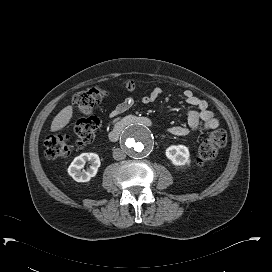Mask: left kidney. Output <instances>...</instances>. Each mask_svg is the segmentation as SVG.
Returning a JSON list of instances; mask_svg holds the SVG:
<instances>
[{
    "mask_svg": "<svg viewBox=\"0 0 272 272\" xmlns=\"http://www.w3.org/2000/svg\"><path fill=\"white\" fill-rule=\"evenodd\" d=\"M165 155L174 166H185L191 162L189 149L184 145L169 146Z\"/></svg>",
    "mask_w": 272,
    "mask_h": 272,
    "instance_id": "5707ae66",
    "label": "left kidney"
}]
</instances>
